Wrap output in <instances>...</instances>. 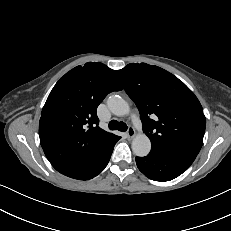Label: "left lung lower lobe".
Wrapping results in <instances>:
<instances>
[{
	"label": "left lung lower lobe",
	"mask_w": 231,
	"mask_h": 231,
	"mask_svg": "<svg viewBox=\"0 0 231 231\" xmlns=\"http://www.w3.org/2000/svg\"><path fill=\"white\" fill-rule=\"evenodd\" d=\"M195 158L183 153L151 149L148 156L136 157V164L148 178L155 181H170L186 171Z\"/></svg>",
	"instance_id": "obj_1"
}]
</instances>
